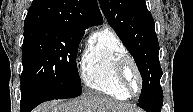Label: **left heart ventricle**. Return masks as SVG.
Instances as JSON below:
<instances>
[{"label":"left heart ventricle","mask_w":193,"mask_h":112,"mask_svg":"<svg viewBox=\"0 0 193 112\" xmlns=\"http://www.w3.org/2000/svg\"><path fill=\"white\" fill-rule=\"evenodd\" d=\"M128 76H129V80H130L133 88L136 89V87H137L136 78H135L134 73L131 70L129 71Z\"/></svg>","instance_id":"b2bd125f"}]
</instances>
